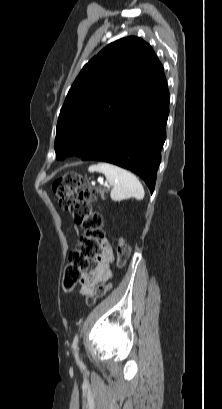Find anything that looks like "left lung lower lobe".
Returning <instances> with one entry per match:
<instances>
[{"label":"left lung lower lobe","mask_w":222,"mask_h":409,"mask_svg":"<svg viewBox=\"0 0 222 409\" xmlns=\"http://www.w3.org/2000/svg\"><path fill=\"white\" fill-rule=\"evenodd\" d=\"M166 81L150 95L127 102L97 133L83 161H104L141 177L154 191L169 114Z\"/></svg>","instance_id":"0a47b994"}]
</instances>
